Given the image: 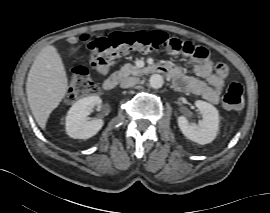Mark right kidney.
Returning <instances> with one entry per match:
<instances>
[{"instance_id": "right-kidney-1", "label": "right kidney", "mask_w": 270, "mask_h": 213, "mask_svg": "<svg viewBox=\"0 0 270 213\" xmlns=\"http://www.w3.org/2000/svg\"><path fill=\"white\" fill-rule=\"evenodd\" d=\"M102 100L99 96H89L75 102L66 116V133L74 139H88L102 128V119L88 120V115Z\"/></svg>"}]
</instances>
